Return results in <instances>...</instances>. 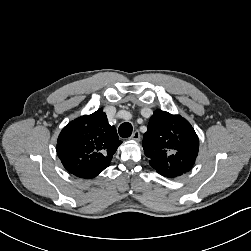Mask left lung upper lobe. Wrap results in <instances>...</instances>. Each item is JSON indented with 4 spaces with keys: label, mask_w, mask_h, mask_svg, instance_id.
<instances>
[{
    "label": "left lung upper lobe",
    "mask_w": 251,
    "mask_h": 251,
    "mask_svg": "<svg viewBox=\"0 0 251 251\" xmlns=\"http://www.w3.org/2000/svg\"><path fill=\"white\" fill-rule=\"evenodd\" d=\"M143 148L154 169L178 173L188 171L195 163L199 140L186 119L156 110L144 134Z\"/></svg>",
    "instance_id": "obj_1"
}]
</instances>
